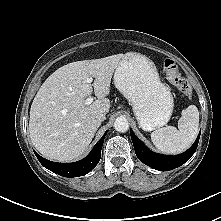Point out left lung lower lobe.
Returning a JSON list of instances; mask_svg holds the SVG:
<instances>
[{
  "mask_svg": "<svg viewBox=\"0 0 221 221\" xmlns=\"http://www.w3.org/2000/svg\"><path fill=\"white\" fill-rule=\"evenodd\" d=\"M130 135L138 159L149 167L159 171H168L175 169L188 161V159L195 153L200 138L199 133L195 143L191 146V148H189L184 153L171 156L152 152L143 144L142 141L137 138L132 129H130Z\"/></svg>",
  "mask_w": 221,
  "mask_h": 221,
  "instance_id": "left-lung-lower-lobe-1",
  "label": "left lung lower lobe"
}]
</instances>
